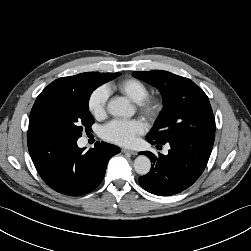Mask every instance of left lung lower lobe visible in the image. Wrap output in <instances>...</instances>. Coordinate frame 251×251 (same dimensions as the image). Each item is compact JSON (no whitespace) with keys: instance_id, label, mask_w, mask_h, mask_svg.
<instances>
[{"instance_id":"left-lung-lower-lobe-1","label":"left lung lower lobe","mask_w":251,"mask_h":251,"mask_svg":"<svg viewBox=\"0 0 251 251\" xmlns=\"http://www.w3.org/2000/svg\"><path fill=\"white\" fill-rule=\"evenodd\" d=\"M215 134L187 135L169 142L167 155H154L149 151L139 154L148 156L153 163L148 174L139 178L140 185L148 192L169 196L190 187L204 171L214 144ZM152 145L160 143L147 139Z\"/></svg>"}]
</instances>
